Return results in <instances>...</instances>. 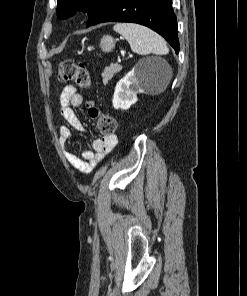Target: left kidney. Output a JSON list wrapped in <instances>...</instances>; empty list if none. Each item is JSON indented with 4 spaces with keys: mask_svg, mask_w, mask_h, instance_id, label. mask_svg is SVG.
Returning a JSON list of instances; mask_svg holds the SVG:
<instances>
[{
    "mask_svg": "<svg viewBox=\"0 0 247 296\" xmlns=\"http://www.w3.org/2000/svg\"><path fill=\"white\" fill-rule=\"evenodd\" d=\"M154 80L155 75L151 69L138 63L117 83L112 100L113 107L115 109H129L137 102V93H144L149 83Z\"/></svg>",
    "mask_w": 247,
    "mask_h": 296,
    "instance_id": "obj_1",
    "label": "left kidney"
}]
</instances>
